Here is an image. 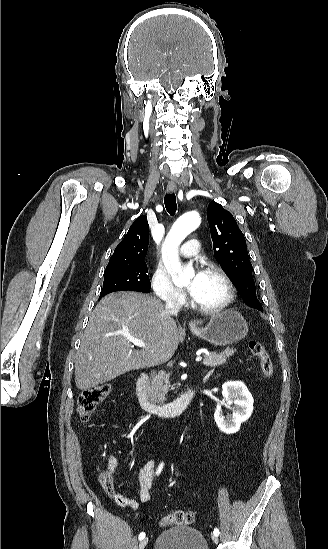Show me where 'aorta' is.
Returning <instances> with one entry per match:
<instances>
[{
  "mask_svg": "<svg viewBox=\"0 0 328 549\" xmlns=\"http://www.w3.org/2000/svg\"><path fill=\"white\" fill-rule=\"evenodd\" d=\"M201 223L198 213L188 212L180 216L173 224L165 246L166 268L172 277V281L176 286H184L189 283L194 276V271L191 268H182L179 257L178 247L180 243Z\"/></svg>",
  "mask_w": 328,
  "mask_h": 549,
  "instance_id": "aorta-1",
  "label": "aorta"
}]
</instances>
